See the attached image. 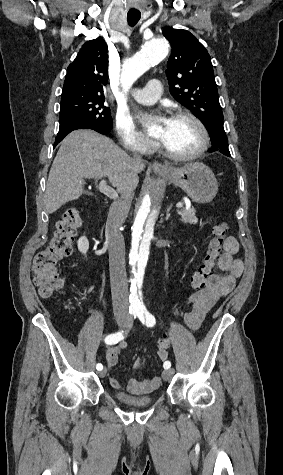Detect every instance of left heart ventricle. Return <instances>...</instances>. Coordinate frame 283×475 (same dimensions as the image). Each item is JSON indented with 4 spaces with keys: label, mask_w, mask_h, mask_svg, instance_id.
I'll use <instances>...</instances> for the list:
<instances>
[{
    "label": "left heart ventricle",
    "mask_w": 283,
    "mask_h": 475,
    "mask_svg": "<svg viewBox=\"0 0 283 475\" xmlns=\"http://www.w3.org/2000/svg\"><path fill=\"white\" fill-rule=\"evenodd\" d=\"M154 135L174 155H186L193 152L201 140L199 128L189 119L172 117L166 126H156Z\"/></svg>",
    "instance_id": "obj_1"
}]
</instances>
